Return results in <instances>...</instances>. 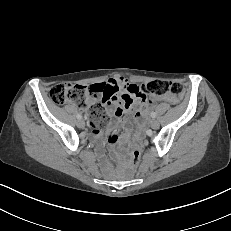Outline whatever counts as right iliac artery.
Returning <instances> with one entry per match:
<instances>
[{"label": "right iliac artery", "instance_id": "1", "mask_svg": "<svg viewBox=\"0 0 231 231\" xmlns=\"http://www.w3.org/2000/svg\"><path fill=\"white\" fill-rule=\"evenodd\" d=\"M77 119H81L82 118V116L80 115V114H77Z\"/></svg>", "mask_w": 231, "mask_h": 231}]
</instances>
